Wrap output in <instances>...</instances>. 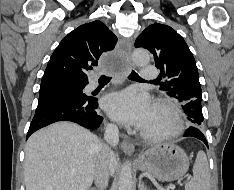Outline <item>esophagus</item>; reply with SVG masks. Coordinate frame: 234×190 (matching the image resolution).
Wrapping results in <instances>:
<instances>
[{"label":"esophagus","mask_w":234,"mask_h":190,"mask_svg":"<svg viewBox=\"0 0 234 190\" xmlns=\"http://www.w3.org/2000/svg\"><path fill=\"white\" fill-rule=\"evenodd\" d=\"M121 48H122L123 55H124L125 59L127 60L128 64H131V61H130L131 49H132L131 43L130 42H123L121 45ZM120 146H121L122 151L125 154L132 155L134 153L135 148H134L133 143L130 140L124 139L121 142Z\"/></svg>","instance_id":"1"}]
</instances>
